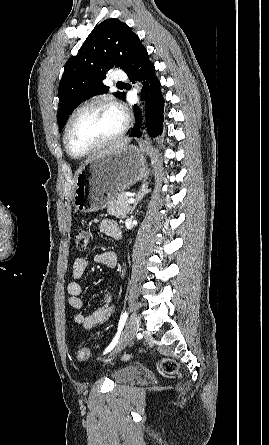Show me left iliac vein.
I'll return each mask as SVG.
<instances>
[{
    "label": "left iliac vein",
    "mask_w": 269,
    "mask_h": 445,
    "mask_svg": "<svg viewBox=\"0 0 269 445\" xmlns=\"http://www.w3.org/2000/svg\"><path fill=\"white\" fill-rule=\"evenodd\" d=\"M140 327V318L137 314H133L125 328V331L123 333L122 339L120 341V344L118 346L117 351H121L137 334Z\"/></svg>",
    "instance_id": "obj_1"
}]
</instances>
